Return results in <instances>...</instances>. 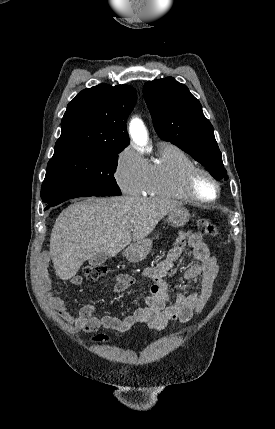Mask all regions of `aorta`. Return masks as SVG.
I'll list each match as a JSON object with an SVG mask.
<instances>
[{"instance_id":"aorta-1","label":"aorta","mask_w":275,"mask_h":429,"mask_svg":"<svg viewBox=\"0 0 275 429\" xmlns=\"http://www.w3.org/2000/svg\"><path fill=\"white\" fill-rule=\"evenodd\" d=\"M132 133L133 139L140 147H144L147 143V133L146 130L139 120H134L132 124Z\"/></svg>"}]
</instances>
